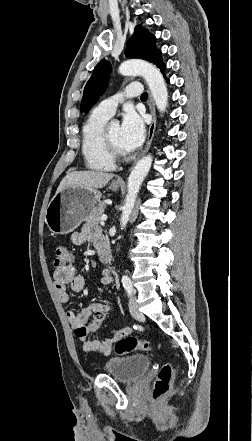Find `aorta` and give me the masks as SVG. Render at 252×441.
Listing matches in <instances>:
<instances>
[{
  "label": "aorta",
  "mask_w": 252,
  "mask_h": 441,
  "mask_svg": "<svg viewBox=\"0 0 252 441\" xmlns=\"http://www.w3.org/2000/svg\"><path fill=\"white\" fill-rule=\"evenodd\" d=\"M119 72L124 76L142 75L150 88L157 109L161 113L165 112L168 104V91L159 69L142 60H128L121 63ZM152 160L151 155L142 157L128 177L127 195L120 218L121 229H124L129 221L141 184L151 168Z\"/></svg>",
  "instance_id": "aorta-1"
}]
</instances>
